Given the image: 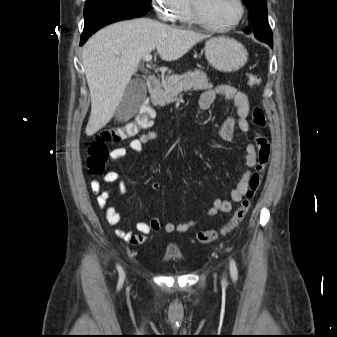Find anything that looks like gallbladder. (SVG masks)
<instances>
[{
	"instance_id": "1",
	"label": "gallbladder",
	"mask_w": 337,
	"mask_h": 337,
	"mask_svg": "<svg viewBox=\"0 0 337 337\" xmlns=\"http://www.w3.org/2000/svg\"><path fill=\"white\" fill-rule=\"evenodd\" d=\"M146 95L145 82L141 78L133 79L126 87L123 99L117 108L115 117L118 120H128L132 117L141 104Z\"/></svg>"
}]
</instances>
